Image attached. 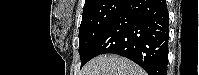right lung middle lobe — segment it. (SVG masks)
<instances>
[{"mask_svg": "<svg viewBox=\"0 0 199 75\" xmlns=\"http://www.w3.org/2000/svg\"><path fill=\"white\" fill-rule=\"evenodd\" d=\"M127 0H105L100 6L83 10L79 29L81 68L92 59L94 46L117 17Z\"/></svg>", "mask_w": 199, "mask_h": 75, "instance_id": "1", "label": "right lung middle lobe"}]
</instances>
